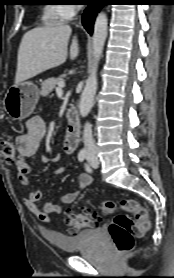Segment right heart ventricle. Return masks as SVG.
Returning <instances> with one entry per match:
<instances>
[{"label":"right heart ventricle","mask_w":174,"mask_h":278,"mask_svg":"<svg viewBox=\"0 0 174 278\" xmlns=\"http://www.w3.org/2000/svg\"><path fill=\"white\" fill-rule=\"evenodd\" d=\"M43 20L46 24H55L65 20L61 13V5L50 4L45 6Z\"/></svg>","instance_id":"1"}]
</instances>
